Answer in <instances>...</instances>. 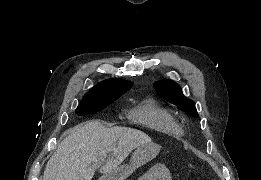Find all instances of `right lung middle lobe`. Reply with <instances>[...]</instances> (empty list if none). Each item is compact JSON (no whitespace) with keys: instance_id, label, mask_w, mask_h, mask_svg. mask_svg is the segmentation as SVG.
<instances>
[{"instance_id":"1","label":"right lung middle lobe","mask_w":261,"mask_h":180,"mask_svg":"<svg viewBox=\"0 0 261 180\" xmlns=\"http://www.w3.org/2000/svg\"><path fill=\"white\" fill-rule=\"evenodd\" d=\"M116 97H84L78 105L76 111L79 115H87L101 111L103 108L114 102Z\"/></svg>"}]
</instances>
